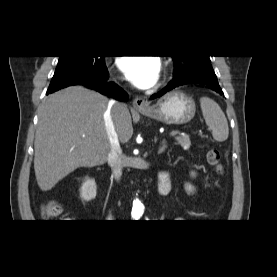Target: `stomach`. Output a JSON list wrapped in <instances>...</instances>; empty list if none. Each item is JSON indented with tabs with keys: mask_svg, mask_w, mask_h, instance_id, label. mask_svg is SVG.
<instances>
[{
	"mask_svg": "<svg viewBox=\"0 0 277 277\" xmlns=\"http://www.w3.org/2000/svg\"><path fill=\"white\" fill-rule=\"evenodd\" d=\"M195 111V102L190 96L172 91L161 97L155 105L141 109L140 113L168 125H179L188 123Z\"/></svg>",
	"mask_w": 277,
	"mask_h": 277,
	"instance_id": "0dacf381",
	"label": "stomach"
}]
</instances>
